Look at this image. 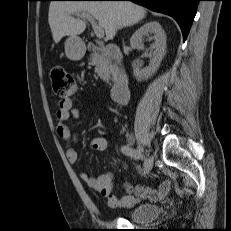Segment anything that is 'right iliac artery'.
Segmentation results:
<instances>
[{
	"label": "right iliac artery",
	"instance_id": "82829eb1",
	"mask_svg": "<svg viewBox=\"0 0 231 231\" xmlns=\"http://www.w3.org/2000/svg\"><path fill=\"white\" fill-rule=\"evenodd\" d=\"M121 152L127 156L133 157L135 159H139V160H143L144 159V155L142 154L141 150L138 149H133L132 147H130L129 145H123L121 147ZM150 168L144 164V168H143V174L147 175L150 172Z\"/></svg>",
	"mask_w": 231,
	"mask_h": 231
}]
</instances>
